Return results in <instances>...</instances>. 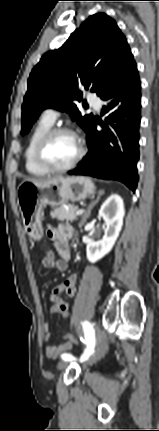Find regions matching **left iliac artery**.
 Returning a JSON list of instances; mask_svg holds the SVG:
<instances>
[{
  "label": "left iliac artery",
  "instance_id": "44dca946",
  "mask_svg": "<svg viewBox=\"0 0 159 431\" xmlns=\"http://www.w3.org/2000/svg\"><path fill=\"white\" fill-rule=\"evenodd\" d=\"M82 325L84 327L86 344H87V348L85 349L83 355L80 358V361L84 362L94 352L95 338H94V331H93L92 325L87 321L83 322ZM62 359L66 361L75 360V358L71 354H63Z\"/></svg>",
  "mask_w": 159,
  "mask_h": 431
}]
</instances>
